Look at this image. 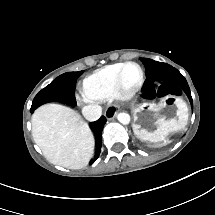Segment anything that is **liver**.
<instances>
[{
    "label": "liver",
    "mask_w": 215,
    "mask_h": 215,
    "mask_svg": "<svg viewBox=\"0 0 215 215\" xmlns=\"http://www.w3.org/2000/svg\"><path fill=\"white\" fill-rule=\"evenodd\" d=\"M31 123L33 139L51 163L69 169L88 165L94 136L76 111L60 104H45L35 110Z\"/></svg>",
    "instance_id": "6515ba94"
}]
</instances>
